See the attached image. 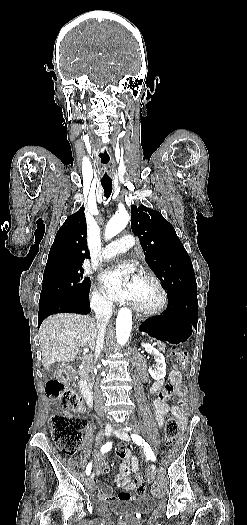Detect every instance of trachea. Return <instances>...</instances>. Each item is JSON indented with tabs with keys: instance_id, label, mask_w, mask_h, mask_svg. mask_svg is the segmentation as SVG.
Wrapping results in <instances>:
<instances>
[{
	"instance_id": "obj_1",
	"label": "trachea",
	"mask_w": 247,
	"mask_h": 525,
	"mask_svg": "<svg viewBox=\"0 0 247 525\" xmlns=\"http://www.w3.org/2000/svg\"><path fill=\"white\" fill-rule=\"evenodd\" d=\"M102 187L104 189V196L106 199H109L112 193V182H103L101 181Z\"/></svg>"
}]
</instances>
